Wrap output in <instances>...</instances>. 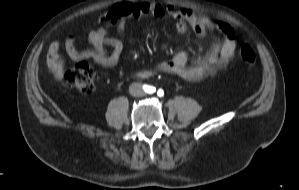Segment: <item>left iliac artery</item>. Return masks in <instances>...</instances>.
<instances>
[{"label":"left iliac artery","instance_id":"left-iliac-artery-1","mask_svg":"<svg viewBox=\"0 0 299 190\" xmlns=\"http://www.w3.org/2000/svg\"><path fill=\"white\" fill-rule=\"evenodd\" d=\"M161 93H162V90H159V91H158V95H160Z\"/></svg>","mask_w":299,"mask_h":190}]
</instances>
